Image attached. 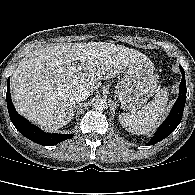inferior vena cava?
Here are the masks:
<instances>
[{"instance_id": "obj_1", "label": "inferior vena cava", "mask_w": 195, "mask_h": 195, "mask_svg": "<svg viewBox=\"0 0 195 195\" xmlns=\"http://www.w3.org/2000/svg\"><path fill=\"white\" fill-rule=\"evenodd\" d=\"M90 95V91L87 88L79 87L73 92L74 99L77 103L84 101Z\"/></svg>"}]
</instances>
